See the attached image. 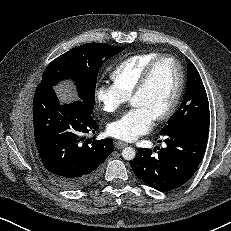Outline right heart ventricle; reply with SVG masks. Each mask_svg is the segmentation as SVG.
<instances>
[{
    "instance_id": "obj_1",
    "label": "right heart ventricle",
    "mask_w": 231,
    "mask_h": 231,
    "mask_svg": "<svg viewBox=\"0 0 231 231\" xmlns=\"http://www.w3.org/2000/svg\"><path fill=\"white\" fill-rule=\"evenodd\" d=\"M159 55L158 52H147L127 58L111 74L114 85L129 98L147 65Z\"/></svg>"
}]
</instances>
